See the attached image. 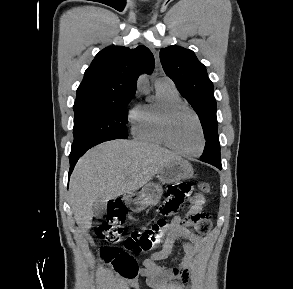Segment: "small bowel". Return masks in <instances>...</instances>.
I'll list each match as a JSON object with an SVG mask.
<instances>
[{
  "label": "small bowel",
  "mask_w": 293,
  "mask_h": 289,
  "mask_svg": "<svg viewBox=\"0 0 293 289\" xmlns=\"http://www.w3.org/2000/svg\"><path fill=\"white\" fill-rule=\"evenodd\" d=\"M190 202L191 207L184 215L185 225L181 223L183 216H175L166 226L163 237L159 241L162 244L161 249L152 252L143 261L138 276L145 280L149 289H168L172 281H180L185 286L190 282L195 258L204 248L205 240L202 235L208 233L210 229L209 219L202 213L204 196L196 193L191 197ZM191 227H196L199 233H195ZM175 243L181 244L185 251L183 260L175 266L158 265V261L168 258ZM127 287L139 289L137 279L124 283V288Z\"/></svg>",
  "instance_id": "small-bowel-1"
}]
</instances>
